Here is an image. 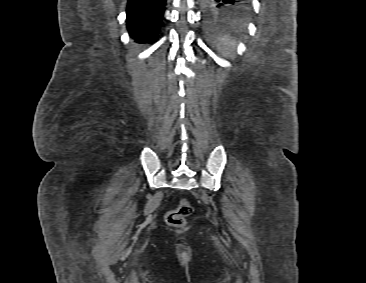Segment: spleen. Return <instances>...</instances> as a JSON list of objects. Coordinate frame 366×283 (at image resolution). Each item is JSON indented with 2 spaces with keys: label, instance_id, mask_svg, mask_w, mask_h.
I'll return each mask as SVG.
<instances>
[{
  "label": "spleen",
  "instance_id": "spleen-1",
  "mask_svg": "<svg viewBox=\"0 0 366 283\" xmlns=\"http://www.w3.org/2000/svg\"><path fill=\"white\" fill-rule=\"evenodd\" d=\"M235 47H236V41L231 39L227 35L220 37L217 43V49L225 57H233L232 52L235 50Z\"/></svg>",
  "mask_w": 366,
  "mask_h": 283
}]
</instances>
